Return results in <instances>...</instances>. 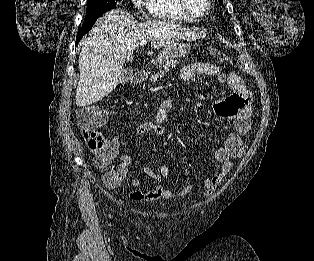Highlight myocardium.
<instances>
[{
    "label": "myocardium",
    "instance_id": "1",
    "mask_svg": "<svg viewBox=\"0 0 314 261\" xmlns=\"http://www.w3.org/2000/svg\"><path fill=\"white\" fill-rule=\"evenodd\" d=\"M178 1H179L180 6L182 7V9L194 18L204 17L205 15H207L209 13V11L211 10V6H212V1L206 0V9L203 12H197L190 6L188 0H178Z\"/></svg>",
    "mask_w": 314,
    "mask_h": 261
}]
</instances>
